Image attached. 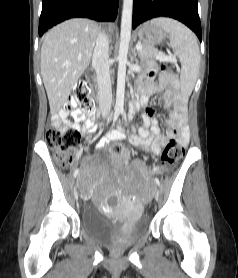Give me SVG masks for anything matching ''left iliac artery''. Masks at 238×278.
<instances>
[{"instance_id":"44dca946","label":"left iliac artery","mask_w":238,"mask_h":278,"mask_svg":"<svg viewBox=\"0 0 238 278\" xmlns=\"http://www.w3.org/2000/svg\"><path fill=\"white\" fill-rule=\"evenodd\" d=\"M155 182H156V184H157L158 186L160 185V181H159L158 178H155Z\"/></svg>"}]
</instances>
